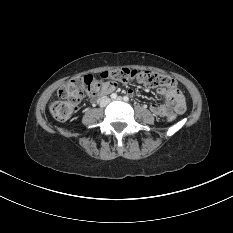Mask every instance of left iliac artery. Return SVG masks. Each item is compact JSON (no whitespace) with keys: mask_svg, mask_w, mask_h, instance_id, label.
Returning <instances> with one entry per match:
<instances>
[{"mask_svg":"<svg viewBox=\"0 0 233 233\" xmlns=\"http://www.w3.org/2000/svg\"><path fill=\"white\" fill-rule=\"evenodd\" d=\"M124 101L128 102L129 101V97L128 96H124Z\"/></svg>","mask_w":233,"mask_h":233,"instance_id":"1","label":"left iliac artery"}]
</instances>
